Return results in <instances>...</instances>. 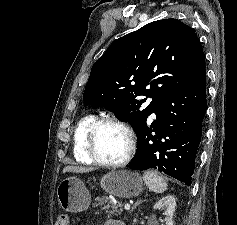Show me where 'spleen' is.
Masks as SVG:
<instances>
[{"label":"spleen","instance_id":"spleen-1","mask_svg":"<svg viewBox=\"0 0 237 225\" xmlns=\"http://www.w3.org/2000/svg\"><path fill=\"white\" fill-rule=\"evenodd\" d=\"M143 180L149 190L153 192L162 193L167 189L166 180L162 176L158 175L155 171L150 170L144 172Z\"/></svg>","mask_w":237,"mask_h":225}]
</instances>
